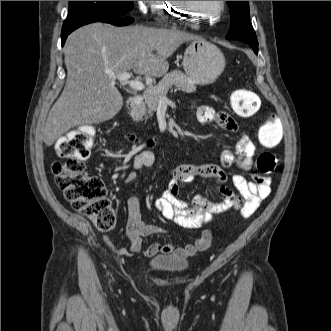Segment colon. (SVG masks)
<instances>
[{
    "label": "colon",
    "instance_id": "1",
    "mask_svg": "<svg viewBox=\"0 0 331 331\" xmlns=\"http://www.w3.org/2000/svg\"><path fill=\"white\" fill-rule=\"evenodd\" d=\"M230 102L240 117L253 116L261 107V100L250 90L238 89L232 92ZM282 120L270 116L260 127L258 139L262 146L272 148L282 140ZM94 129L82 126L68 132L56 143L59 160L52 166L56 185L74 210L87 216L100 231L111 230L116 221L115 211L107 197V190L101 178L87 172L85 160L94 145ZM277 167L275 155L261 152L256 159V168L262 174H271ZM211 240H196L198 249H206Z\"/></svg>",
    "mask_w": 331,
    "mask_h": 331
}]
</instances>
